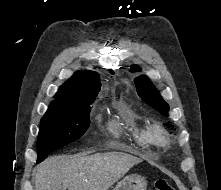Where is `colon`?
<instances>
[{"mask_svg": "<svg viewBox=\"0 0 221 190\" xmlns=\"http://www.w3.org/2000/svg\"><path fill=\"white\" fill-rule=\"evenodd\" d=\"M151 190H175L165 179H158L154 182Z\"/></svg>", "mask_w": 221, "mask_h": 190, "instance_id": "1", "label": "colon"}]
</instances>
